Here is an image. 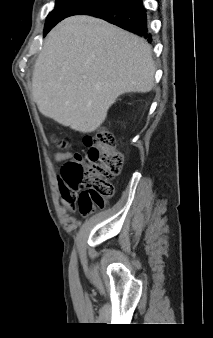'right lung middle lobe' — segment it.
I'll return each mask as SVG.
<instances>
[{
	"label": "right lung middle lobe",
	"mask_w": 213,
	"mask_h": 338,
	"mask_svg": "<svg viewBox=\"0 0 213 338\" xmlns=\"http://www.w3.org/2000/svg\"><path fill=\"white\" fill-rule=\"evenodd\" d=\"M92 0H56L54 10L48 15L44 27V35L58 22L69 17L78 7L91 2Z\"/></svg>",
	"instance_id": "obj_1"
}]
</instances>
